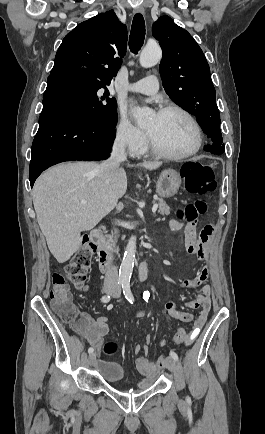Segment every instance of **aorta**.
I'll list each match as a JSON object with an SVG mask.
<instances>
[{"label": "aorta", "mask_w": 265, "mask_h": 434, "mask_svg": "<svg viewBox=\"0 0 265 434\" xmlns=\"http://www.w3.org/2000/svg\"><path fill=\"white\" fill-rule=\"evenodd\" d=\"M161 56V50L158 46H146L140 54V66H142V68H152V66H156V64L160 62ZM132 116L135 118L137 126L142 128V126H146L147 122H149L151 110H149V108H135L134 112H132ZM135 254L136 236H131L126 246L119 270V282H122V284L123 282H130L134 268Z\"/></svg>", "instance_id": "aorta-1"}]
</instances>
